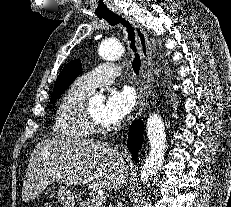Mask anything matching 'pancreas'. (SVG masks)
Returning <instances> with one entry per match:
<instances>
[{
	"mask_svg": "<svg viewBox=\"0 0 231 207\" xmlns=\"http://www.w3.org/2000/svg\"><path fill=\"white\" fill-rule=\"evenodd\" d=\"M80 207H104L103 201L99 203V200H97V196H92L87 198L85 201H82L80 203Z\"/></svg>",
	"mask_w": 231,
	"mask_h": 207,
	"instance_id": "pancreas-1",
	"label": "pancreas"
}]
</instances>
